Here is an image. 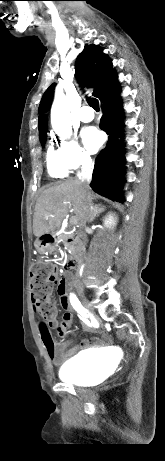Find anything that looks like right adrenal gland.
I'll return each instance as SVG.
<instances>
[{
	"instance_id": "2a0ac1e0",
	"label": "right adrenal gland",
	"mask_w": 165,
	"mask_h": 461,
	"mask_svg": "<svg viewBox=\"0 0 165 461\" xmlns=\"http://www.w3.org/2000/svg\"><path fill=\"white\" fill-rule=\"evenodd\" d=\"M94 207H95V213H94V215H93L92 221H93L96 217H98L102 212L105 211L104 206L95 205Z\"/></svg>"
}]
</instances>
